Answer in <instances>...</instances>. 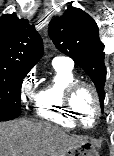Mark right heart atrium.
<instances>
[{
    "label": "right heart atrium",
    "instance_id": "d8ad5b80",
    "mask_svg": "<svg viewBox=\"0 0 114 156\" xmlns=\"http://www.w3.org/2000/svg\"><path fill=\"white\" fill-rule=\"evenodd\" d=\"M20 96L23 103H28L29 100L35 98L34 71L29 72L22 80Z\"/></svg>",
    "mask_w": 114,
    "mask_h": 156
}]
</instances>
